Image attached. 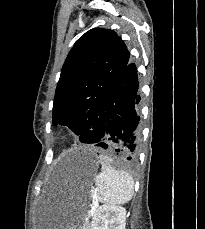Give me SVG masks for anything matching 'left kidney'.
<instances>
[{"instance_id":"obj_1","label":"left kidney","mask_w":205,"mask_h":229,"mask_svg":"<svg viewBox=\"0 0 205 229\" xmlns=\"http://www.w3.org/2000/svg\"><path fill=\"white\" fill-rule=\"evenodd\" d=\"M126 209L119 205L97 207L90 229H125Z\"/></svg>"}]
</instances>
